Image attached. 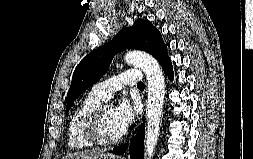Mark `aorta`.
I'll list each match as a JSON object with an SVG mask.
<instances>
[{
    "mask_svg": "<svg viewBox=\"0 0 253 159\" xmlns=\"http://www.w3.org/2000/svg\"><path fill=\"white\" fill-rule=\"evenodd\" d=\"M128 64L139 66L146 74L148 98L146 105L147 124L145 135V159H151L158 142L165 96L163 71L155 58L139 51L125 54Z\"/></svg>",
    "mask_w": 253,
    "mask_h": 159,
    "instance_id": "1",
    "label": "aorta"
}]
</instances>
